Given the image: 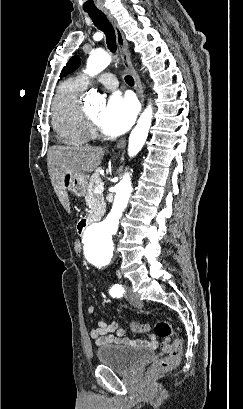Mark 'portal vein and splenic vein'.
<instances>
[{
	"instance_id": "obj_1",
	"label": "portal vein and splenic vein",
	"mask_w": 243,
	"mask_h": 409,
	"mask_svg": "<svg viewBox=\"0 0 243 409\" xmlns=\"http://www.w3.org/2000/svg\"><path fill=\"white\" fill-rule=\"evenodd\" d=\"M103 191H104V186H103V184L100 183V184L95 188V193L102 194Z\"/></svg>"
}]
</instances>
